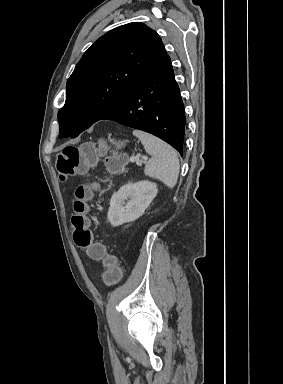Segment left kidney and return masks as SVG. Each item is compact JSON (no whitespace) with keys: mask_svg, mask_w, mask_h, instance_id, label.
<instances>
[{"mask_svg":"<svg viewBox=\"0 0 283 384\" xmlns=\"http://www.w3.org/2000/svg\"><path fill=\"white\" fill-rule=\"evenodd\" d=\"M157 192V184L148 180L122 186L110 200L108 220L111 226H122L125 222L138 220L156 198ZM125 200H128L127 204Z\"/></svg>","mask_w":283,"mask_h":384,"instance_id":"obj_1","label":"left kidney"}]
</instances>
